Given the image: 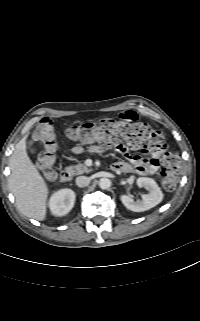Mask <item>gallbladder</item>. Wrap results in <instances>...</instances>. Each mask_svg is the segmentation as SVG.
Instances as JSON below:
<instances>
[{"label":"gallbladder","instance_id":"bac80fb5","mask_svg":"<svg viewBox=\"0 0 200 321\" xmlns=\"http://www.w3.org/2000/svg\"><path fill=\"white\" fill-rule=\"evenodd\" d=\"M35 152H36V148H32L31 153H35Z\"/></svg>","mask_w":200,"mask_h":321}]
</instances>
